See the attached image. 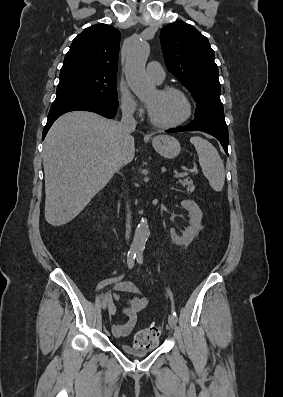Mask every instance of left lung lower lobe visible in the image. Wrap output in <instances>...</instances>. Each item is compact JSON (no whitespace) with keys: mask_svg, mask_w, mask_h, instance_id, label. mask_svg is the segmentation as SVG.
<instances>
[{"mask_svg":"<svg viewBox=\"0 0 283 397\" xmlns=\"http://www.w3.org/2000/svg\"><path fill=\"white\" fill-rule=\"evenodd\" d=\"M203 131L216 137L228 155V128L225 119L211 116L195 117L188 125L170 129L167 132Z\"/></svg>","mask_w":283,"mask_h":397,"instance_id":"left-lung-lower-lobe-1","label":"left lung lower lobe"}]
</instances>
